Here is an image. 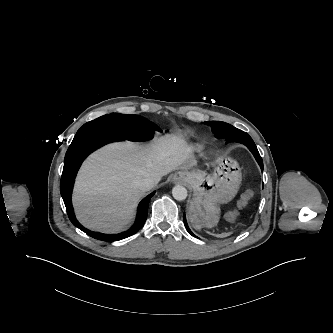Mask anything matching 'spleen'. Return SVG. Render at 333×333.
Wrapping results in <instances>:
<instances>
[{"label": "spleen", "instance_id": "obj_1", "mask_svg": "<svg viewBox=\"0 0 333 333\" xmlns=\"http://www.w3.org/2000/svg\"><path fill=\"white\" fill-rule=\"evenodd\" d=\"M219 237H226L227 236V234H220V235H218Z\"/></svg>", "mask_w": 333, "mask_h": 333}]
</instances>
